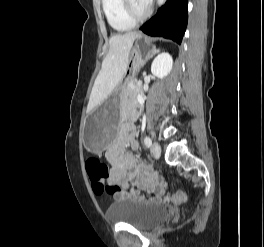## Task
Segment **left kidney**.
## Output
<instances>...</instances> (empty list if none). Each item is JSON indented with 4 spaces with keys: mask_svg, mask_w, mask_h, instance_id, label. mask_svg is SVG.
<instances>
[{
    "mask_svg": "<svg viewBox=\"0 0 264 247\" xmlns=\"http://www.w3.org/2000/svg\"><path fill=\"white\" fill-rule=\"evenodd\" d=\"M172 66V56L167 52H163L157 55V57L153 60L151 73L158 78H164L170 73Z\"/></svg>",
    "mask_w": 264,
    "mask_h": 247,
    "instance_id": "obj_1",
    "label": "left kidney"
}]
</instances>
